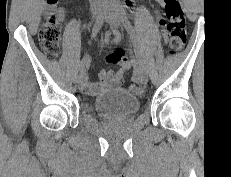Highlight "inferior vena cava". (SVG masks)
I'll return each instance as SVG.
<instances>
[{"label":"inferior vena cava","mask_w":231,"mask_h":177,"mask_svg":"<svg viewBox=\"0 0 231 177\" xmlns=\"http://www.w3.org/2000/svg\"><path fill=\"white\" fill-rule=\"evenodd\" d=\"M100 1H103V0H90V2H100Z\"/></svg>","instance_id":"obj_1"}]
</instances>
